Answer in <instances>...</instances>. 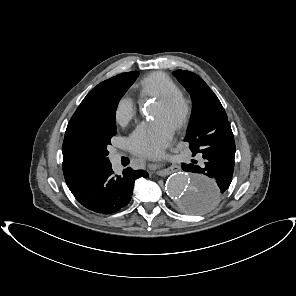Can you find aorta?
<instances>
[{
  "label": "aorta",
  "instance_id": "762f6f07",
  "mask_svg": "<svg viewBox=\"0 0 296 296\" xmlns=\"http://www.w3.org/2000/svg\"><path fill=\"white\" fill-rule=\"evenodd\" d=\"M217 187L216 182L206 176L177 172L169 176L165 190L180 210L203 214L215 206L218 199Z\"/></svg>",
  "mask_w": 296,
  "mask_h": 296
}]
</instances>
